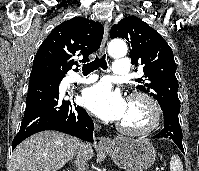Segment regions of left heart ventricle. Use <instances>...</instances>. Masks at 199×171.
Here are the masks:
<instances>
[{
    "label": "left heart ventricle",
    "mask_w": 199,
    "mask_h": 171,
    "mask_svg": "<svg viewBox=\"0 0 199 171\" xmlns=\"http://www.w3.org/2000/svg\"><path fill=\"white\" fill-rule=\"evenodd\" d=\"M148 121V112L143 103L138 101L128 102L126 111L120 120L129 127H140Z\"/></svg>",
    "instance_id": "1"
}]
</instances>
